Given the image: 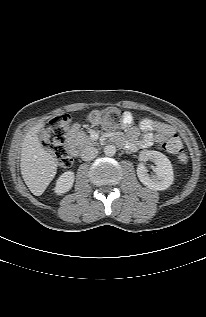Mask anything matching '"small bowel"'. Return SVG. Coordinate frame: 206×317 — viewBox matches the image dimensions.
<instances>
[{
    "instance_id": "obj_1",
    "label": "small bowel",
    "mask_w": 206,
    "mask_h": 317,
    "mask_svg": "<svg viewBox=\"0 0 206 317\" xmlns=\"http://www.w3.org/2000/svg\"><path fill=\"white\" fill-rule=\"evenodd\" d=\"M134 117L130 112L124 113L123 127L127 129L126 145L130 149H144L152 146L154 142H162V140L174 132L172 126L156 121L151 118H144L138 126H133ZM143 132L141 138L140 133ZM119 141L123 140L122 136H118Z\"/></svg>"
}]
</instances>
